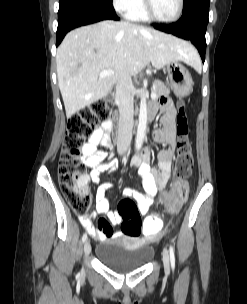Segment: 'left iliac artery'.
<instances>
[{"instance_id":"1","label":"left iliac artery","mask_w":247,"mask_h":304,"mask_svg":"<svg viewBox=\"0 0 247 304\" xmlns=\"http://www.w3.org/2000/svg\"><path fill=\"white\" fill-rule=\"evenodd\" d=\"M169 252H170L171 267H172V269H174L175 268V255H174V248L172 246H170Z\"/></svg>"}]
</instances>
